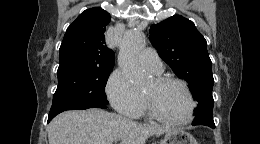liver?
Here are the masks:
<instances>
[{
  "instance_id": "obj_1",
  "label": "liver",
  "mask_w": 260,
  "mask_h": 144,
  "mask_svg": "<svg viewBox=\"0 0 260 144\" xmlns=\"http://www.w3.org/2000/svg\"><path fill=\"white\" fill-rule=\"evenodd\" d=\"M174 129L154 124H141L118 114L100 109L66 111L48 126L49 144H145L153 135Z\"/></svg>"
}]
</instances>
